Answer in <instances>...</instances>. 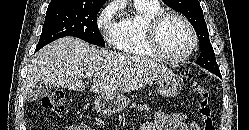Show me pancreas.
I'll return each instance as SVG.
<instances>
[{
  "instance_id": "cf45deb5",
  "label": "pancreas",
  "mask_w": 249,
  "mask_h": 130,
  "mask_svg": "<svg viewBox=\"0 0 249 130\" xmlns=\"http://www.w3.org/2000/svg\"><path fill=\"white\" fill-rule=\"evenodd\" d=\"M132 108H137L138 110H145L146 112H149V106L146 105V104H135L133 103L131 106H130V109Z\"/></svg>"
}]
</instances>
